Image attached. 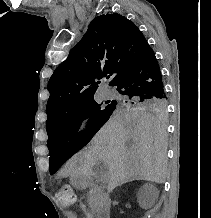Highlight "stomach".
Wrapping results in <instances>:
<instances>
[{"label": "stomach", "instance_id": "stomach-1", "mask_svg": "<svg viewBox=\"0 0 211 218\" xmlns=\"http://www.w3.org/2000/svg\"><path fill=\"white\" fill-rule=\"evenodd\" d=\"M71 182L75 187H84L87 184V178L82 174H74L71 176Z\"/></svg>", "mask_w": 211, "mask_h": 218}]
</instances>
